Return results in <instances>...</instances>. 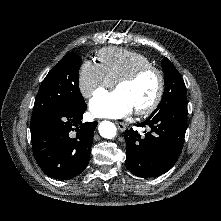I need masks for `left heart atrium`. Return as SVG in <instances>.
Returning <instances> with one entry per match:
<instances>
[{
    "label": "left heart atrium",
    "mask_w": 221,
    "mask_h": 221,
    "mask_svg": "<svg viewBox=\"0 0 221 221\" xmlns=\"http://www.w3.org/2000/svg\"><path fill=\"white\" fill-rule=\"evenodd\" d=\"M90 111L98 117L120 118L131 114L134 107L120 90L98 92L89 103Z\"/></svg>",
    "instance_id": "1"
}]
</instances>
